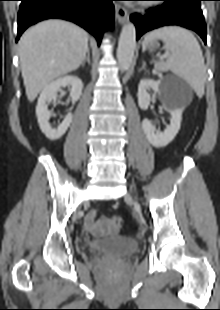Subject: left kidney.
<instances>
[{"label": "left kidney", "mask_w": 220, "mask_h": 310, "mask_svg": "<svg viewBox=\"0 0 220 310\" xmlns=\"http://www.w3.org/2000/svg\"><path fill=\"white\" fill-rule=\"evenodd\" d=\"M150 89H152L154 93H158L160 96L168 100V103L164 105V108L171 114V122L163 132H159L156 131L150 120L144 119L142 122V128L148 141L154 147H165L175 138L180 129L184 107L182 105L175 106L169 98L167 89L162 86L160 81L143 79L140 81L138 87V104L141 109L146 110L150 105L152 99L149 94Z\"/></svg>", "instance_id": "1"}]
</instances>
